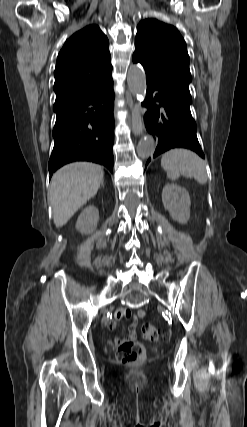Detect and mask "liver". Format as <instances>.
Wrapping results in <instances>:
<instances>
[{"label":"liver","instance_id":"1","mask_svg":"<svg viewBox=\"0 0 247 427\" xmlns=\"http://www.w3.org/2000/svg\"><path fill=\"white\" fill-rule=\"evenodd\" d=\"M103 168L89 162H74L60 168L52 177L49 200L57 228L64 226L103 182Z\"/></svg>","mask_w":247,"mask_h":427}]
</instances>
